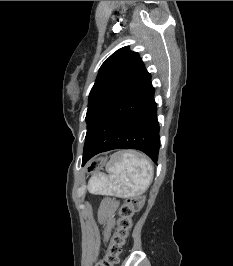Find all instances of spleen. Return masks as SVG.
Returning <instances> with one entry per match:
<instances>
[{"mask_svg":"<svg viewBox=\"0 0 233 266\" xmlns=\"http://www.w3.org/2000/svg\"><path fill=\"white\" fill-rule=\"evenodd\" d=\"M109 175L99 173L89 180L93 194L133 197L144 193L153 180V167L148 159L133 151H119L106 164Z\"/></svg>","mask_w":233,"mask_h":266,"instance_id":"1","label":"spleen"}]
</instances>
